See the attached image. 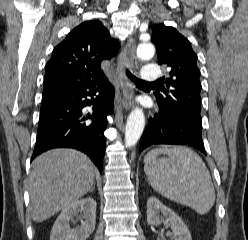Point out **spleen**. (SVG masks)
Wrapping results in <instances>:
<instances>
[{"label": "spleen", "mask_w": 248, "mask_h": 240, "mask_svg": "<svg viewBox=\"0 0 248 240\" xmlns=\"http://www.w3.org/2000/svg\"><path fill=\"white\" fill-rule=\"evenodd\" d=\"M159 155L164 157L159 158ZM144 171L156 192L198 214L208 213L215 203L209 170L188 147L152 149L144 158Z\"/></svg>", "instance_id": "3e777b00"}]
</instances>
